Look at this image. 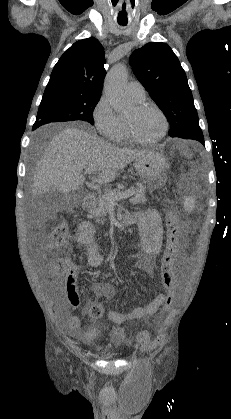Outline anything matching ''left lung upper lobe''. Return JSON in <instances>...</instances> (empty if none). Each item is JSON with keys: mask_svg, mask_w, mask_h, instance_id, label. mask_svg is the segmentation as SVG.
<instances>
[{"mask_svg": "<svg viewBox=\"0 0 231 419\" xmlns=\"http://www.w3.org/2000/svg\"><path fill=\"white\" fill-rule=\"evenodd\" d=\"M130 64L138 80L165 112L170 123L169 136L202 131L185 71L169 45L148 43L132 53Z\"/></svg>", "mask_w": 231, "mask_h": 419, "instance_id": "left-lung-upper-lobe-1", "label": "left lung upper lobe"}]
</instances>
